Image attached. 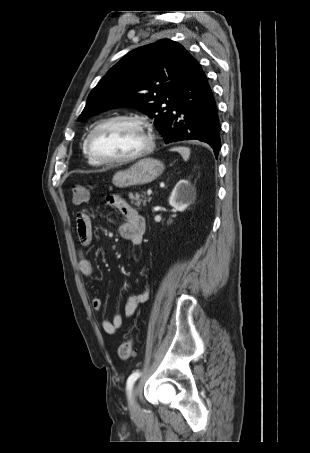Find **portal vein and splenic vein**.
Returning a JSON list of instances; mask_svg holds the SVG:
<instances>
[{
  "mask_svg": "<svg viewBox=\"0 0 310 453\" xmlns=\"http://www.w3.org/2000/svg\"><path fill=\"white\" fill-rule=\"evenodd\" d=\"M152 194V190L151 189H148L147 190V195L150 196Z\"/></svg>",
  "mask_w": 310,
  "mask_h": 453,
  "instance_id": "1",
  "label": "portal vein and splenic vein"
}]
</instances>
